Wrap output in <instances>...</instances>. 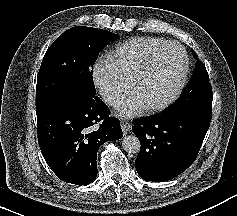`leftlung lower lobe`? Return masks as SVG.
<instances>
[{"label":"left lung lower lobe","instance_id":"left-lung-lower-lobe-1","mask_svg":"<svg viewBox=\"0 0 237 216\" xmlns=\"http://www.w3.org/2000/svg\"><path fill=\"white\" fill-rule=\"evenodd\" d=\"M132 130L141 142L135 160L139 176L163 182L177 177L196 159L210 125L183 113H162L133 121Z\"/></svg>","mask_w":237,"mask_h":216}]
</instances>
